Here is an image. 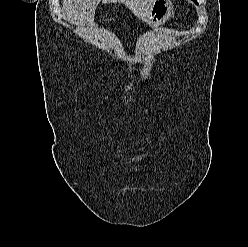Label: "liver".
I'll return each instance as SVG.
<instances>
[{
	"label": "liver",
	"mask_w": 248,
	"mask_h": 247,
	"mask_svg": "<svg viewBox=\"0 0 248 247\" xmlns=\"http://www.w3.org/2000/svg\"><path fill=\"white\" fill-rule=\"evenodd\" d=\"M123 3L135 16L145 20L150 7L155 0H63V11L66 19L78 26L79 31L83 32L86 24H92L96 7L100 2Z\"/></svg>",
	"instance_id": "obj_1"
}]
</instances>
